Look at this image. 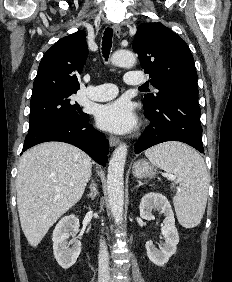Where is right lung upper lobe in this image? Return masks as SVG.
Returning a JSON list of instances; mask_svg holds the SVG:
<instances>
[{
	"label": "right lung upper lobe",
	"instance_id": "1",
	"mask_svg": "<svg viewBox=\"0 0 232 282\" xmlns=\"http://www.w3.org/2000/svg\"><path fill=\"white\" fill-rule=\"evenodd\" d=\"M88 56L86 37L77 31L61 38L45 52L34 81L33 91L80 88L77 75L81 74Z\"/></svg>",
	"mask_w": 232,
	"mask_h": 282
}]
</instances>
